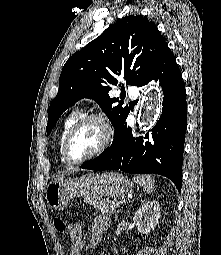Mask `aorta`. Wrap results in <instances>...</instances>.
<instances>
[{
    "label": "aorta",
    "mask_w": 221,
    "mask_h": 255,
    "mask_svg": "<svg viewBox=\"0 0 221 255\" xmlns=\"http://www.w3.org/2000/svg\"><path fill=\"white\" fill-rule=\"evenodd\" d=\"M161 108V94L153 87L149 88L143 96L138 115V124L140 130H147L152 125Z\"/></svg>",
    "instance_id": "762f6f07"
}]
</instances>
